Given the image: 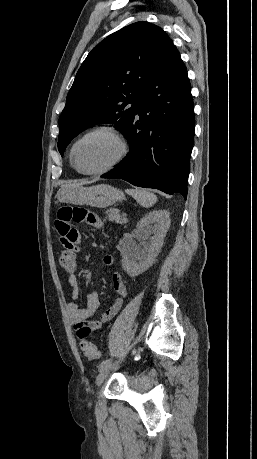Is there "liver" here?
I'll list each match as a JSON object with an SVG mask.
<instances>
[{
  "label": "liver",
  "instance_id": "obj_1",
  "mask_svg": "<svg viewBox=\"0 0 257 459\" xmlns=\"http://www.w3.org/2000/svg\"><path fill=\"white\" fill-rule=\"evenodd\" d=\"M93 182H94V180H91V181L83 180L81 182H74V183L63 185L62 188L80 186V185L90 184V183H93Z\"/></svg>",
  "mask_w": 257,
  "mask_h": 459
}]
</instances>
